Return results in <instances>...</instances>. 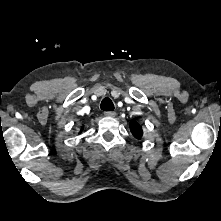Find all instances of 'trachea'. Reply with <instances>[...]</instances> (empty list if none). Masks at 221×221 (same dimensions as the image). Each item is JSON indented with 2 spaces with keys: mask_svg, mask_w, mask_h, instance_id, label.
Segmentation results:
<instances>
[{
  "mask_svg": "<svg viewBox=\"0 0 221 221\" xmlns=\"http://www.w3.org/2000/svg\"><path fill=\"white\" fill-rule=\"evenodd\" d=\"M101 109L104 111H113L114 110V104L109 98H104L100 105Z\"/></svg>",
  "mask_w": 221,
  "mask_h": 221,
  "instance_id": "obj_1",
  "label": "trachea"
}]
</instances>
